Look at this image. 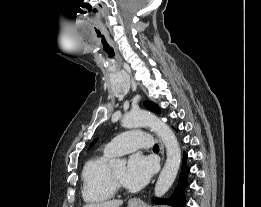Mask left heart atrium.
<instances>
[{
	"instance_id": "39dd6f15",
	"label": "left heart atrium",
	"mask_w": 261,
	"mask_h": 207,
	"mask_svg": "<svg viewBox=\"0 0 261 207\" xmlns=\"http://www.w3.org/2000/svg\"><path fill=\"white\" fill-rule=\"evenodd\" d=\"M155 169L154 161L142 154H134L130 157L125 175L124 185L129 188H140L150 179Z\"/></svg>"
}]
</instances>
